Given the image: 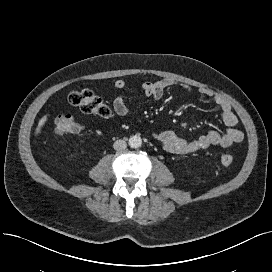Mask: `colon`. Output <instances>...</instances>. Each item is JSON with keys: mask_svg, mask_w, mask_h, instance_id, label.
<instances>
[{"mask_svg": "<svg viewBox=\"0 0 272 272\" xmlns=\"http://www.w3.org/2000/svg\"><path fill=\"white\" fill-rule=\"evenodd\" d=\"M67 100L84 113L102 118H107L111 114L109 106L90 90L71 92ZM81 128V125L71 116L58 115L54 119V132L58 135L76 134ZM220 161L224 166H231L234 163V157L231 154H222Z\"/></svg>", "mask_w": 272, "mask_h": 272, "instance_id": "colon-1", "label": "colon"}]
</instances>
